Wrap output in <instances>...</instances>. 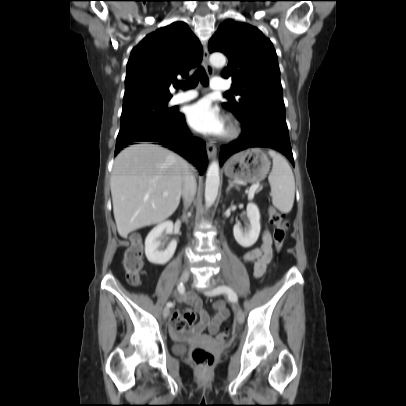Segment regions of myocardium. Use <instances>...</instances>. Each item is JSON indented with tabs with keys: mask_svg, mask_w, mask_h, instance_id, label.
Returning a JSON list of instances; mask_svg holds the SVG:
<instances>
[{
	"mask_svg": "<svg viewBox=\"0 0 406 406\" xmlns=\"http://www.w3.org/2000/svg\"><path fill=\"white\" fill-rule=\"evenodd\" d=\"M240 132V127L238 125V123L232 119V118H228L227 124H226V128L223 132L222 137L226 140H230L235 138Z\"/></svg>",
	"mask_w": 406,
	"mask_h": 406,
	"instance_id": "myocardium-1",
	"label": "myocardium"
}]
</instances>
